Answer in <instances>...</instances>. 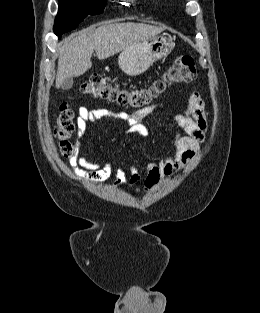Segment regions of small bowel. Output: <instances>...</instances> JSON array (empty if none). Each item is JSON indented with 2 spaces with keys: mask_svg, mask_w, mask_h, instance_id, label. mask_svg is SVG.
I'll list each match as a JSON object with an SVG mask.
<instances>
[{
  "mask_svg": "<svg viewBox=\"0 0 260 313\" xmlns=\"http://www.w3.org/2000/svg\"><path fill=\"white\" fill-rule=\"evenodd\" d=\"M155 107L138 110L133 113L113 111L108 109H89L81 107L77 117V139L75 140V154L69 165L73 173L83 181L102 182L108 180L112 174L115 181L112 188L118 189L126 184L134 186L141 180L139 167L130 166V175L118 167L113 169L110 162L97 163L87 160L80 153L81 138L86 133L89 122L97 120H119L125 122L129 130L141 137L150 135L149 128L144 120L152 113ZM171 121L175 127V136L172 150L160 161L145 163L146 176L144 190L151 191L162 180L183 169L193 160L204 142L207 131L205 104L198 92H193L188 100L185 111L172 115Z\"/></svg>",
  "mask_w": 260,
  "mask_h": 313,
  "instance_id": "1",
  "label": "small bowel"
}]
</instances>
